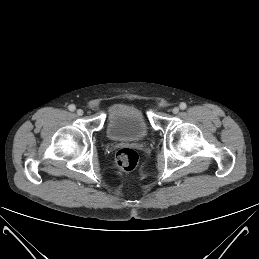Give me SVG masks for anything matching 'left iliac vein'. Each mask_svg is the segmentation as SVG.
<instances>
[{
  "label": "left iliac vein",
  "instance_id": "4c4485c4",
  "mask_svg": "<svg viewBox=\"0 0 259 259\" xmlns=\"http://www.w3.org/2000/svg\"><path fill=\"white\" fill-rule=\"evenodd\" d=\"M172 112H173L174 114H177V113L179 112V108H178V107L173 108Z\"/></svg>",
  "mask_w": 259,
  "mask_h": 259
}]
</instances>
